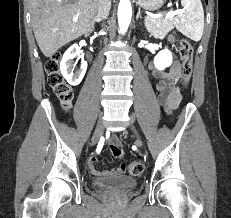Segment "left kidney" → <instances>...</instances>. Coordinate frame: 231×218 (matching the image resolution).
Returning a JSON list of instances; mask_svg holds the SVG:
<instances>
[{
    "instance_id": "1",
    "label": "left kidney",
    "mask_w": 231,
    "mask_h": 218,
    "mask_svg": "<svg viewBox=\"0 0 231 218\" xmlns=\"http://www.w3.org/2000/svg\"><path fill=\"white\" fill-rule=\"evenodd\" d=\"M172 54L165 48L160 51L154 58V65L158 70H164L172 64Z\"/></svg>"
}]
</instances>
